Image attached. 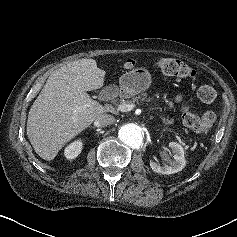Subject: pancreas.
Segmentation results:
<instances>
[{"label": "pancreas", "mask_w": 237, "mask_h": 237, "mask_svg": "<svg viewBox=\"0 0 237 237\" xmlns=\"http://www.w3.org/2000/svg\"><path fill=\"white\" fill-rule=\"evenodd\" d=\"M143 100L144 99L142 98V96H136V97L132 98L131 100L122 101L121 104H136V103H139V101H143ZM161 120L165 125H169V124L173 123L172 118L161 117Z\"/></svg>", "instance_id": "obj_1"}]
</instances>
